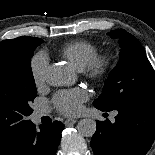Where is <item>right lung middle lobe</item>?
Returning a JSON list of instances; mask_svg holds the SVG:
<instances>
[{"label": "right lung middle lobe", "mask_w": 155, "mask_h": 155, "mask_svg": "<svg viewBox=\"0 0 155 155\" xmlns=\"http://www.w3.org/2000/svg\"><path fill=\"white\" fill-rule=\"evenodd\" d=\"M43 42L0 44V146L18 136L31 121V102L37 96L31 70L35 48Z\"/></svg>", "instance_id": "right-lung-middle-lobe-1"}]
</instances>
